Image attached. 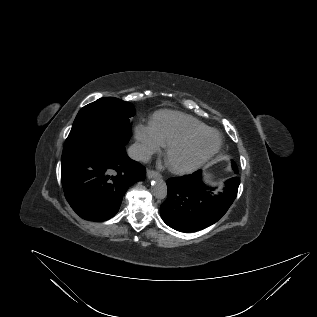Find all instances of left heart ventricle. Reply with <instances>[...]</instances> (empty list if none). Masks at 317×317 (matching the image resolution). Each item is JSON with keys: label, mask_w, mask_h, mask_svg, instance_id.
Here are the masks:
<instances>
[{"label": "left heart ventricle", "mask_w": 317, "mask_h": 317, "mask_svg": "<svg viewBox=\"0 0 317 317\" xmlns=\"http://www.w3.org/2000/svg\"><path fill=\"white\" fill-rule=\"evenodd\" d=\"M216 142L217 136L214 133H208L193 139L174 150L169 156V162L176 166L187 165L209 151Z\"/></svg>", "instance_id": "1"}]
</instances>
